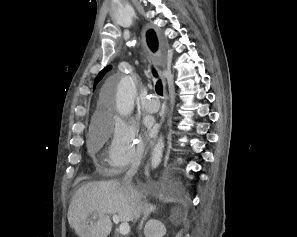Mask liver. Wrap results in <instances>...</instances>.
<instances>
[{
	"instance_id": "obj_1",
	"label": "liver",
	"mask_w": 297,
	"mask_h": 237,
	"mask_svg": "<svg viewBox=\"0 0 297 237\" xmlns=\"http://www.w3.org/2000/svg\"><path fill=\"white\" fill-rule=\"evenodd\" d=\"M137 194L141 197L140 193ZM92 213H97L98 219L89 223L88 217ZM111 214H116L121 222L134 220L131 201L121 183L89 182L72 197L68 222L79 237H107L112 229Z\"/></svg>"
}]
</instances>
